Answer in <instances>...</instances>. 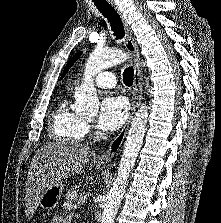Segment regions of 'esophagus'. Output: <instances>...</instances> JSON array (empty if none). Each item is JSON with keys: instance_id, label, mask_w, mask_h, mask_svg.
Wrapping results in <instances>:
<instances>
[{"instance_id": "34e87169", "label": "esophagus", "mask_w": 221, "mask_h": 223, "mask_svg": "<svg viewBox=\"0 0 221 223\" xmlns=\"http://www.w3.org/2000/svg\"><path fill=\"white\" fill-rule=\"evenodd\" d=\"M108 2L117 11L124 26V31H125L124 44L127 51L131 55L133 66H134V85H133V91H132L131 110H130V115L128 117V120L126 121L121 132L111 141L107 150L96 157V162L100 164H108L109 162H111L114 156L120 150V147L126 137L129 126L137 110V107L140 104L141 97H142V79H141V70H140L139 50L134 42L131 28L129 24L127 23L123 13L119 10L118 5L113 0H108Z\"/></svg>"}]
</instances>
